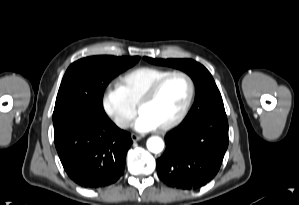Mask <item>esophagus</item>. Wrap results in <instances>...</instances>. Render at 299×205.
<instances>
[{
  "label": "esophagus",
  "instance_id": "obj_1",
  "mask_svg": "<svg viewBox=\"0 0 299 205\" xmlns=\"http://www.w3.org/2000/svg\"><path fill=\"white\" fill-rule=\"evenodd\" d=\"M141 138H142V137H141L140 135H137V134H135V133H132V134H131V139H132L133 141H139Z\"/></svg>",
  "mask_w": 299,
  "mask_h": 205
}]
</instances>
